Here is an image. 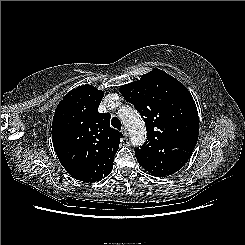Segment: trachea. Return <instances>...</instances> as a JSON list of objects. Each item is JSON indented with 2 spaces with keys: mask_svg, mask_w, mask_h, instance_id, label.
<instances>
[{
  "mask_svg": "<svg viewBox=\"0 0 245 245\" xmlns=\"http://www.w3.org/2000/svg\"><path fill=\"white\" fill-rule=\"evenodd\" d=\"M111 125L118 130H120L122 127L121 121L116 117L112 118Z\"/></svg>",
  "mask_w": 245,
  "mask_h": 245,
  "instance_id": "1",
  "label": "trachea"
}]
</instances>
